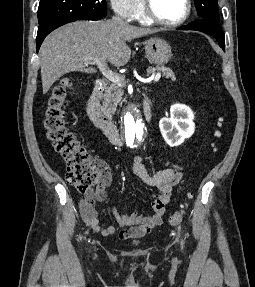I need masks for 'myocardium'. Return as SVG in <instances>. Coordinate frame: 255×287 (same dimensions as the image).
Listing matches in <instances>:
<instances>
[{"label":"myocardium","mask_w":255,"mask_h":287,"mask_svg":"<svg viewBox=\"0 0 255 287\" xmlns=\"http://www.w3.org/2000/svg\"><path fill=\"white\" fill-rule=\"evenodd\" d=\"M160 23H166V22H160ZM151 33H172V32H151ZM151 39H170V38H151Z\"/></svg>","instance_id":"1"}]
</instances>
